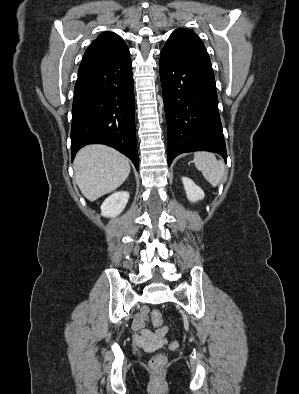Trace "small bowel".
I'll return each instance as SVG.
<instances>
[{"label":"small bowel","instance_id":"small-bowel-1","mask_svg":"<svg viewBox=\"0 0 299 394\" xmlns=\"http://www.w3.org/2000/svg\"><path fill=\"white\" fill-rule=\"evenodd\" d=\"M149 309L143 306L133 323L134 343L148 352L161 348L166 343L167 326L155 323L156 330L151 331L145 328V323L149 318Z\"/></svg>","mask_w":299,"mask_h":394}]
</instances>
